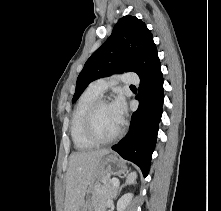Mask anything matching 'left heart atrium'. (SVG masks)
I'll return each instance as SVG.
<instances>
[{
    "mask_svg": "<svg viewBox=\"0 0 221 211\" xmlns=\"http://www.w3.org/2000/svg\"><path fill=\"white\" fill-rule=\"evenodd\" d=\"M110 105L116 117L118 118L120 123H122L124 114L126 112V103L124 101V98L122 96H118Z\"/></svg>",
    "mask_w": 221,
    "mask_h": 211,
    "instance_id": "obj_1",
    "label": "left heart atrium"
}]
</instances>
